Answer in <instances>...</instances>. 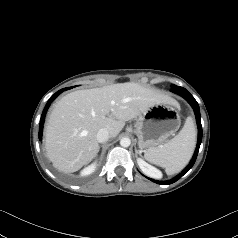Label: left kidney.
I'll list each match as a JSON object with an SVG mask.
<instances>
[{
	"instance_id": "obj_1",
	"label": "left kidney",
	"mask_w": 238,
	"mask_h": 238,
	"mask_svg": "<svg viewBox=\"0 0 238 238\" xmlns=\"http://www.w3.org/2000/svg\"><path fill=\"white\" fill-rule=\"evenodd\" d=\"M137 162H138L139 167L141 168V170L145 174L153 176V177H160L161 176V172L159 170H157L153 166L149 165L148 163H146L141 158H138Z\"/></svg>"
}]
</instances>
